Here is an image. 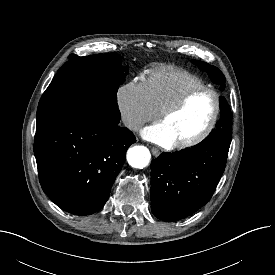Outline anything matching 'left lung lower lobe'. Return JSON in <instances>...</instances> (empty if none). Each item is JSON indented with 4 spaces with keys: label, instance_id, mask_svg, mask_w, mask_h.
I'll return each mask as SVG.
<instances>
[{
    "label": "left lung lower lobe",
    "instance_id": "1",
    "mask_svg": "<svg viewBox=\"0 0 275 275\" xmlns=\"http://www.w3.org/2000/svg\"><path fill=\"white\" fill-rule=\"evenodd\" d=\"M231 136L210 134L190 149L163 152L151 162V209L158 219L181 220L211 199L226 166Z\"/></svg>",
    "mask_w": 275,
    "mask_h": 275
}]
</instances>
